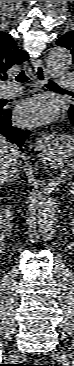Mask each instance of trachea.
<instances>
[{
	"instance_id": "obj_1",
	"label": "trachea",
	"mask_w": 74,
	"mask_h": 366,
	"mask_svg": "<svg viewBox=\"0 0 74 366\" xmlns=\"http://www.w3.org/2000/svg\"><path fill=\"white\" fill-rule=\"evenodd\" d=\"M15 80L19 83H24L26 81L29 80V77L27 76V74L25 73V71H21L15 78ZM46 86L48 87H53V88H60L56 83L48 80V83L46 84Z\"/></svg>"
}]
</instances>
